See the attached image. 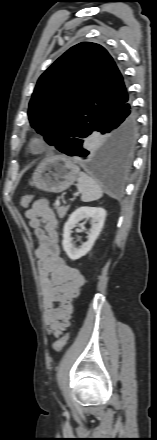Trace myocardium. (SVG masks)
Masks as SVG:
<instances>
[{"mask_svg": "<svg viewBox=\"0 0 157 440\" xmlns=\"http://www.w3.org/2000/svg\"><path fill=\"white\" fill-rule=\"evenodd\" d=\"M28 148L33 153H41L45 149V141L39 136H33L28 141Z\"/></svg>", "mask_w": 157, "mask_h": 440, "instance_id": "1", "label": "myocardium"}]
</instances>
